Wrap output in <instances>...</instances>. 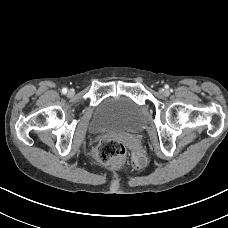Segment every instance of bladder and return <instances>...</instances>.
Returning <instances> with one entry per match:
<instances>
[{
    "mask_svg": "<svg viewBox=\"0 0 228 228\" xmlns=\"http://www.w3.org/2000/svg\"><path fill=\"white\" fill-rule=\"evenodd\" d=\"M144 108L127 95H114L104 98L94 109L89 121L93 133L137 132L145 124Z\"/></svg>",
    "mask_w": 228,
    "mask_h": 228,
    "instance_id": "1",
    "label": "bladder"
}]
</instances>
